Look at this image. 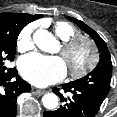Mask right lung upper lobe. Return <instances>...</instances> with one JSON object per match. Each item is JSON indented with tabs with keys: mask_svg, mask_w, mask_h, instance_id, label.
Listing matches in <instances>:
<instances>
[{
	"mask_svg": "<svg viewBox=\"0 0 117 117\" xmlns=\"http://www.w3.org/2000/svg\"><path fill=\"white\" fill-rule=\"evenodd\" d=\"M42 15H30L25 13H1L0 14V24L5 23L11 18L22 19L26 24L30 23L33 20L41 18Z\"/></svg>",
	"mask_w": 117,
	"mask_h": 117,
	"instance_id": "right-lung-upper-lobe-1",
	"label": "right lung upper lobe"
}]
</instances>
